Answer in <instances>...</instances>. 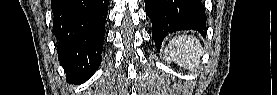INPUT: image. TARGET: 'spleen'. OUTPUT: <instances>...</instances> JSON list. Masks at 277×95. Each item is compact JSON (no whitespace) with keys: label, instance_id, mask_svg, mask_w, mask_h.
I'll return each mask as SVG.
<instances>
[{"label":"spleen","instance_id":"spleen-1","mask_svg":"<svg viewBox=\"0 0 277 95\" xmlns=\"http://www.w3.org/2000/svg\"><path fill=\"white\" fill-rule=\"evenodd\" d=\"M165 52L166 55L170 56L174 62L183 68L195 70L199 67L203 49L199 40L194 36L182 35L171 40Z\"/></svg>","mask_w":277,"mask_h":95}]
</instances>
